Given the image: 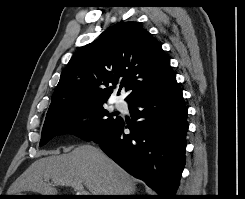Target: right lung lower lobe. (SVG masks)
Masks as SVG:
<instances>
[{
    "label": "right lung lower lobe",
    "mask_w": 245,
    "mask_h": 199,
    "mask_svg": "<svg viewBox=\"0 0 245 199\" xmlns=\"http://www.w3.org/2000/svg\"><path fill=\"white\" fill-rule=\"evenodd\" d=\"M129 104L132 123L120 117L92 140L128 173L154 189L157 199H176L188 130L182 91L175 81Z\"/></svg>",
    "instance_id": "1"
}]
</instances>
